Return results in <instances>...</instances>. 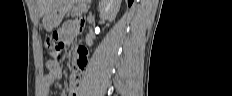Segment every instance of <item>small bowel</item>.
Wrapping results in <instances>:
<instances>
[{
  "label": "small bowel",
  "mask_w": 232,
  "mask_h": 96,
  "mask_svg": "<svg viewBox=\"0 0 232 96\" xmlns=\"http://www.w3.org/2000/svg\"><path fill=\"white\" fill-rule=\"evenodd\" d=\"M76 14V19L65 22L58 32L64 45L67 43H81V38L75 37L82 35L81 27H87V22H83V20H87L88 16L86 15V11H77ZM48 49L52 51L50 48ZM73 66L74 73L70 80L69 96H78L81 75L87 66V54L84 51L78 50L75 52ZM62 75L60 67L57 71L45 75L42 79L41 94L48 95L51 86L55 81L61 79Z\"/></svg>",
  "instance_id": "1"
}]
</instances>
